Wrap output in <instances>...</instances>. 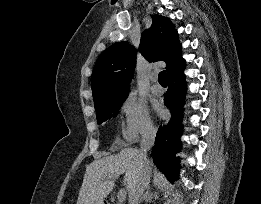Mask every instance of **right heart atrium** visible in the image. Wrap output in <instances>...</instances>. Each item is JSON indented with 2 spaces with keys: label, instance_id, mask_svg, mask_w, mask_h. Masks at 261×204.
<instances>
[{
  "label": "right heart atrium",
  "instance_id": "obj_1",
  "mask_svg": "<svg viewBox=\"0 0 261 204\" xmlns=\"http://www.w3.org/2000/svg\"><path fill=\"white\" fill-rule=\"evenodd\" d=\"M123 116L122 138L131 145L154 135L155 126L146 104L136 97H128L120 107Z\"/></svg>",
  "mask_w": 261,
  "mask_h": 204
}]
</instances>
